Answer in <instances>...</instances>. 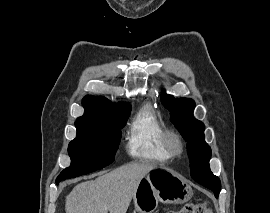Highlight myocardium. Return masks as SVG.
I'll return each instance as SVG.
<instances>
[{"instance_id":"myocardium-1","label":"myocardium","mask_w":270,"mask_h":213,"mask_svg":"<svg viewBox=\"0 0 270 213\" xmlns=\"http://www.w3.org/2000/svg\"><path fill=\"white\" fill-rule=\"evenodd\" d=\"M163 146L170 156H178L184 151L182 136L174 130H166L163 135Z\"/></svg>"}]
</instances>
